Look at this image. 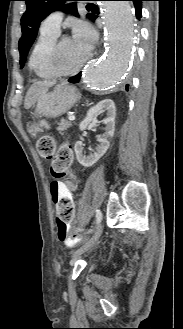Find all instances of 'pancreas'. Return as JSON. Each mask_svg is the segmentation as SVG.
Listing matches in <instances>:
<instances>
[{
	"label": "pancreas",
	"instance_id": "obj_1",
	"mask_svg": "<svg viewBox=\"0 0 183 329\" xmlns=\"http://www.w3.org/2000/svg\"><path fill=\"white\" fill-rule=\"evenodd\" d=\"M72 122L71 121H68V120H65V119H62L60 124H59V127L57 128L58 131H60L61 134H63V132L69 128L71 126Z\"/></svg>",
	"mask_w": 183,
	"mask_h": 329
}]
</instances>
